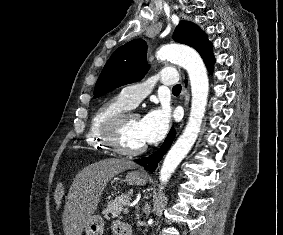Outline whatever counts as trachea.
<instances>
[{
    "label": "trachea",
    "instance_id": "3493384b",
    "mask_svg": "<svg viewBox=\"0 0 283 235\" xmlns=\"http://www.w3.org/2000/svg\"><path fill=\"white\" fill-rule=\"evenodd\" d=\"M172 91H173V92L180 93V92H181V85H180V84L175 85V86L172 88Z\"/></svg>",
    "mask_w": 283,
    "mask_h": 235
}]
</instances>
